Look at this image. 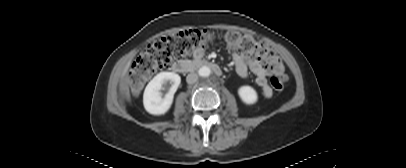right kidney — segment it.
Listing matches in <instances>:
<instances>
[{"mask_svg": "<svg viewBox=\"0 0 406 168\" xmlns=\"http://www.w3.org/2000/svg\"><path fill=\"white\" fill-rule=\"evenodd\" d=\"M181 78L173 72L157 74L146 86L143 94V104L146 111L152 115L165 114L173 103L174 93L178 89ZM170 84L169 92L162 97V86Z\"/></svg>", "mask_w": 406, "mask_h": 168, "instance_id": "ca27d5eb", "label": "right kidney"}]
</instances>
